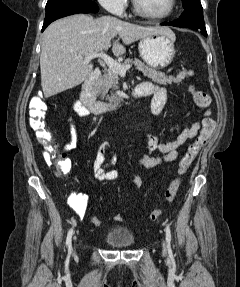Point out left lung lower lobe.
I'll return each instance as SVG.
<instances>
[{
	"mask_svg": "<svg viewBox=\"0 0 240 287\" xmlns=\"http://www.w3.org/2000/svg\"><path fill=\"white\" fill-rule=\"evenodd\" d=\"M184 12L177 20L171 22H164L161 25H171L176 27H188L191 29L199 30L204 36H207L203 8L200 1H195L184 6Z\"/></svg>",
	"mask_w": 240,
	"mask_h": 287,
	"instance_id": "obj_1",
	"label": "left lung lower lobe"
}]
</instances>
